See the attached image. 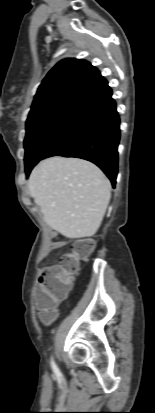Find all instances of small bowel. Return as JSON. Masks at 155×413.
<instances>
[{
	"instance_id": "1",
	"label": "small bowel",
	"mask_w": 155,
	"mask_h": 413,
	"mask_svg": "<svg viewBox=\"0 0 155 413\" xmlns=\"http://www.w3.org/2000/svg\"><path fill=\"white\" fill-rule=\"evenodd\" d=\"M43 291H44V287H43V285L40 283V284L37 286V293H36V300H37V302L40 301V298H41V296H42V294H43ZM54 317H55V312H45V313L42 315V319H43L45 322L51 321Z\"/></svg>"
}]
</instances>
